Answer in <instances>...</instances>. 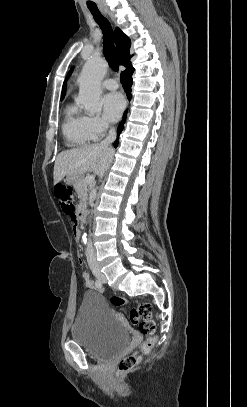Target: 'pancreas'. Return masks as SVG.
I'll return each instance as SVG.
<instances>
[{"label": "pancreas", "mask_w": 247, "mask_h": 407, "mask_svg": "<svg viewBox=\"0 0 247 407\" xmlns=\"http://www.w3.org/2000/svg\"><path fill=\"white\" fill-rule=\"evenodd\" d=\"M74 189L78 194L80 199V207L86 206L88 199V192L91 190V185L85 181L84 178L80 179L77 183L74 184Z\"/></svg>", "instance_id": "cf45deb5"}]
</instances>
